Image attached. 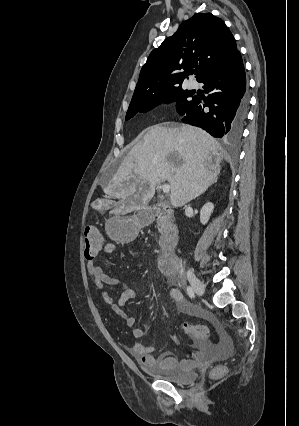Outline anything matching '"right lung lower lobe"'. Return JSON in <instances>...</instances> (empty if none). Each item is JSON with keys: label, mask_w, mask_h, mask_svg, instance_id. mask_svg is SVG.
Listing matches in <instances>:
<instances>
[{"label": "right lung lower lobe", "mask_w": 299, "mask_h": 426, "mask_svg": "<svg viewBox=\"0 0 299 426\" xmlns=\"http://www.w3.org/2000/svg\"><path fill=\"white\" fill-rule=\"evenodd\" d=\"M200 82L209 95L205 100L193 96L191 103L179 112L184 116L182 121L201 127L214 137L237 138L248 107L245 70L240 53Z\"/></svg>", "instance_id": "obj_1"}]
</instances>
